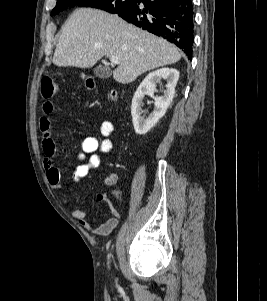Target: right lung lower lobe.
Returning <instances> with one entry per match:
<instances>
[{
  "mask_svg": "<svg viewBox=\"0 0 267 301\" xmlns=\"http://www.w3.org/2000/svg\"><path fill=\"white\" fill-rule=\"evenodd\" d=\"M124 20L167 39L192 58V0H138L129 10L118 13Z\"/></svg>",
  "mask_w": 267,
  "mask_h": 301,
  "instance_id": "98d812e1",
  "label": "right lung lower lobe"
}]
</instances>
